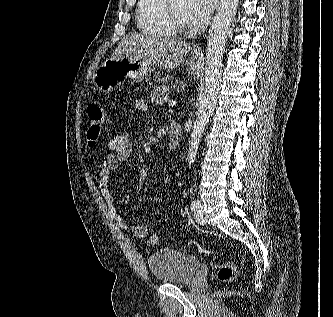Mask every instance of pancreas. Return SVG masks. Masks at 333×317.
<instances>
[{"instance_id":"pancreas-1","label":"pancreas","mask_w":333,"mask_h":317,"mask_svg":"<svg viewBox=\"0 0 333 317\" xmlns=\"http://www.w3.org/2000/svg\"><path fill=\"white\" fill-rule=\"evenodd\" d=\"M171 88L166 85L155 87L150 94V100L152 103L162 105L164 103V97H168Z\"/></svg>"}]
</instances>
